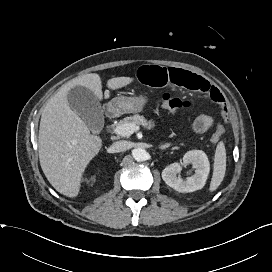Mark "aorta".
Returning a JSON list of instances; mask_svg holds the SVG:
<instances>
[{
  "label": "aorta",
  "mask_w": 272,
  "mask_h": 272,
  "mask_svg": "<svg viewBox=\"0 0 272 272\" xmlns=\"http://www.w3.org/2000/svg\"><path fill=\"white\" fill-rule=\"evenodd\" d=\"M133 158L138 161V162H142L147 160L148 158V153L145 149L142 148H137L134 149L132 152Z\"/></svg>",
  "instance_id": "aorta-1"
}]
</instances>
